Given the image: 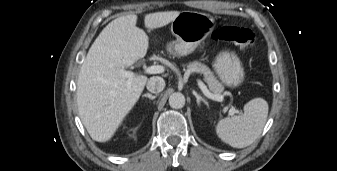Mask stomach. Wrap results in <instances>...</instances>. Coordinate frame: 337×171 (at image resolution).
<instances>
[{"label":"stomach","mask_w":337,"mask_h":171,"mask_svg":"<svg viewBox=\"0 0 337 171\" xmlns=\"http://www.w3.org/2000/svg\"><path fill=\"white\" fill-rule=\"evenodd\" d=\"M216 23L209 14L182 11L172 21L171 32L175 41L167 45V50L175 56L192 53L214 29ZM213 68L220 80L229 87H237L244 80V68L234 52L223 51L218 54Z\"/></svg>","instance_id":"obj_1"}]
</instances>
